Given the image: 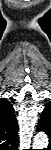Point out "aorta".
<instances>
[{
    "instance_id": "obj_1",
    "label": "aorta",
    "mask_w": 51,
    "mask_h": 150,
    "mask_svg": "<svg viewBox=\"0 0 51 150\" xmlns=\"http://www.w3.org/2000/svg\"><path fill=\"white\" fill-rule=\"evenodd\" d=\"M48 146V137L45 133H38L33 142L34 149H42Z\"/></svg>"
}]
</instances>
